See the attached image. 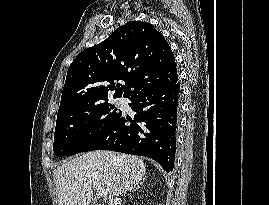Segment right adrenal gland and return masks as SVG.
<instances>
[{
    "label": "right adrenal gland",
    "mask_w": 269,
    "mask_h": 205,
    "mask_svg": "<svg viewBox=\"0 0 269 205\" xmlns=\"http://www.w3.org/2000/svg\"><path fill=\"white\" fill-rule=\"evenodd\" d=\"M138 189V187L134 188L133 191H136Z\"/></svg>",
    "instance_id": "obj_1"
}]
</instances>
